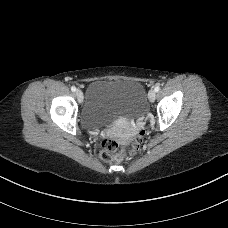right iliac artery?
Masks as SVG:
<instances>
[{
  "instance_id": "obj_1",
  "label": "right iliac artery",
  "mask_w": 228,
  "mask_h": 228,
  "mask_svg": "<svg viewBox=\"0 0 228 228\" xmlns=\"http://www.w3.org/2000/svg\"><path fill=\"white\" fill-rule=\"evenodd\" d=\"M71 90H72L73 92H75V91H76V87H75V86H72V87H71Z\"/></svg>"
}]
</instances>
